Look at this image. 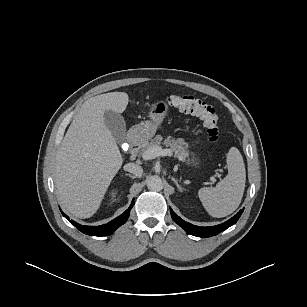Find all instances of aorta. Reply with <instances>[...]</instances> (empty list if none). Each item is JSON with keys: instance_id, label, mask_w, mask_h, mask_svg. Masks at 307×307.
I'll return each mask as SVG.
<instances>
[{"instance_id": "762f6f07", "label": "aorta", "mask_w": 307, "mask_h": 307, "mask_svg": "<svg viewBox=\"0 0 307 307\" xmlns=\"http://www.w3.org/2000/svg\"><path fill=\"white\" fill-rule=\"evenodd\" d=\"M147 187L152 191H161L163 189V182L158 176H151L147 180Z\"/></svg>"}]
</instances>
